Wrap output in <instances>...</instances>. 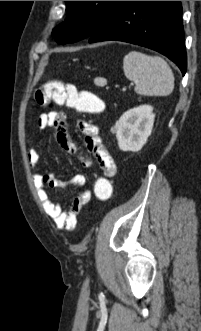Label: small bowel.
I'll return each mask as SVG.
<instances>
[{
	"mask_svg": "<svg viewBox=\"0 0 201 331\" xmlns=\"http://www.w3.org/2000/svg\"><path fill=\"white\" fill-rule=\"evenodd\" d=\"M38 127L41 130L54 128L56 130L59 145L68 153L76 155L83 168L89 169L92 166L94 158L97 161L103 176L107 178L114 177L116 173L115 162L103 144L99 129L95 124L85 120H81L78 123V128L84 135L87 152L82 151L72 139L64 113L60 111H51L41 114L38 118ZM27 157L32 168L33 182L45 212L51 217L58 228L66 230L75 229L78 215L81 209L88 203L91 196L90 189L85 187V176L78 175L70 182H63L53 174H41L37 170L40 157L36 148L32 145L28 147ZM68 185L80 186L82 187V190L74 199L70 208L63 210L60 204L55 203L52 200L48 188L65 187Z\"/></svg>",
	"mask_w": 201,
	"mask_h": 331,
	"instance_id": "small-bowel-1",
	"label": "small bowel"
}]
</instances>
